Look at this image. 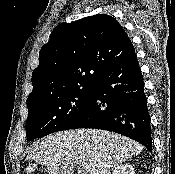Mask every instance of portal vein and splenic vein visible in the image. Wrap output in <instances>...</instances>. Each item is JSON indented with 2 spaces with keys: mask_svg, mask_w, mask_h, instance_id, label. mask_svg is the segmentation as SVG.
Returning a JSON list of instances; mask_svg holds the SVG:
<instances>
[{
  "mask_svg": "<svg viewBox=\"0 0 175 174\" xmlns=\"http://www.w3.org/2000/svg\"><path fill=\"white\" fill-rule=\"evenodd\" d=\"M82 167L85 169V170H88L89 169V166L87 164H82Z\"/></svg>",
  "mask_w": 175,
  "mask_h": 174,
  "instance_id": "obj_1",
  "label": "portal vein and splenic vein"
}]
</instances>
